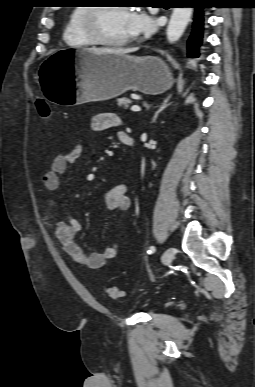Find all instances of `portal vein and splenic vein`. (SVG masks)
<instances>
[{
	"mask_svg": "<svg viewBox=\"0 0 255 387\" xmlns=\"http://www.w3.org/2000/svg\"><path fill=\"white\" fill-rule=\"evenodd\" d=\"M131 110H132L133 112H139V111H141V109H140V107H139L138 105H133V106L131 107Z\"/></svg>",
	"mask_w": 255,
	"mask_h": 387,
	"instance_id": "portal-vein-and-splenic-vein-1",
	"label": "portal vein and splenic vein"
}]
</instances>
